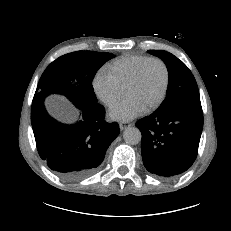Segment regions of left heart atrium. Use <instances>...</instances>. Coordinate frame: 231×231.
Wrapping results in <instances>:
<instances>
[{"mask_svg": "<svg viewBox=\"0 0 231 231\" xmlns=\"http://www.w3.org/2000/svg\"><path fill=\"white\" fill-rule=\"evenodd\" d=\"M146 108L135 98H126L115 103L109 110V117L114 121H130L144 113Z\"/></svg>", "mask_w": 231, "mask_h": 231, "instance_id": "obj_1", "label": "left heart atrium"}]
</instances>
